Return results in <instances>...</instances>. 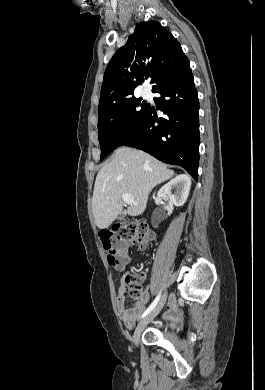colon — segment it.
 Wrapping results in <instances>:
<instances>
[{
	"mask_svg": "<svg viewBox=\"0 0 265 390\" xmlns=\"http://www.w3.org/2000/svg\"><path fill=\"white\" fill-rule=\"evenodd\" d=\"M152 238L153 233L145 222L115 224L112 230L101 235L107 261L116 269H122L126 265V248L129 244L137 243L140 247H146ZM142 279L143 274L137 272L127 274L125 281L129 286V296L132 299H140L143 296Z\"/></svg>",
	"mask_w": 265,
	"mask_h": 390,
	"instance_id": "1",
	"label": "colon"
}]
</instances>
